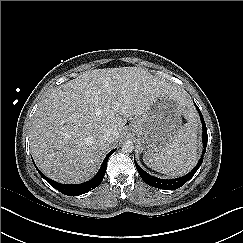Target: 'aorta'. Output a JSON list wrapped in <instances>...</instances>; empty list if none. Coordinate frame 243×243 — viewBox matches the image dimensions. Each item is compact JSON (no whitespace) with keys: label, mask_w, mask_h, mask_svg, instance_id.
Here are the masks:
<instances>
[{"label":"aorta","mask_w":243,"mask_h":243,"mask_svg":"<svg viewBox=\"0 0 243 243\" xmlns=\"http://www.w3.org/2000/svg\"><path fill=\"white\" fill-rule=\"evenodd\" d=\"M121 148L124 153H131L134 150V143L131 140H125Z\"/></svg>","instance_id":"762f6f07"}]
</instances>
